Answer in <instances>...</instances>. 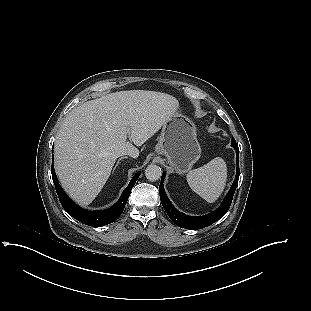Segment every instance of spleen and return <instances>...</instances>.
I'll use <instances>...</instances> for the list:
<instances>
[{
	"label": "spleen",
	"mask_w": 311,
	"mask_h": 311,
	"mask_svg": "<svg viewBox=\"0 0 311 311\" xmlns=\"http://www.w3.org/2000/svg\"><path fill=\"white\" fill-rule=\"evenodd\" d=\"M227 180L225 161L216 157L207 164L190 170L187 182L190 188L209 203L215 202L222 194Z\"/></svg>",
	"instance_id": "obj_1"
}]
</instances>
